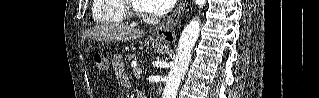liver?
I'll list each match as a JSON object with an SVG mask.
<instances>
[{
	"label": "liver",
	"instance_id": "liver-1",
	"mask_svg": "<svg viewBox=\"0 0 319 98\" xmlns=\"http://www.w3.org/2000/svg\"><path fill=\"white\" fill-rule=\"evenodd\" d=\"M145 32L135 27L122 25H100L85 31L84 37L97 41H129L143 37Z\"/></svg>",
	"mask_w": 319,
	"mask_h": 98
}]
</instances>
